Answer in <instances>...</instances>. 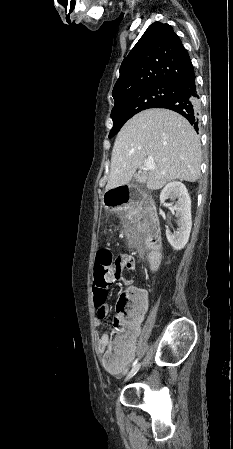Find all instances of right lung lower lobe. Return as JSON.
<instances>
[{"label": "right lung lower lobe", "instance_id": "right-lung-lower-lobe-1", "mask_svg": "<svg viewBox=\"0 0 233 449\" xmlns=\"http://www.w3.org/2000/svg\"><path fill=\"white\" fill-rule=\"evenodd\" d=\"M172 96L159 103L155 108L173 110L183 115L198 130L200 100L195 83V74L171 85Z\"/></svg>", "mask_w": 233, "mask_h": 449}]
</instances>
